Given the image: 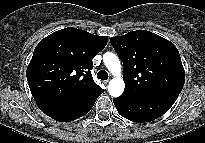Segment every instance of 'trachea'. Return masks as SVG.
<instances>
[{
	"label": "trachea",
	"mask_w": 205,
	"mask_h": 143,
	"mask_svg": "<svg viewBox=\"0 0 205 143\" xmlns=\"http://www.w3.org/2000/svg\"><path fill=\"white\" fill-rule=\"evenodd\" d=\"M98 79L101 80H107L108 79V73L105 70H101L97 74Z\"/></svg>",
	"instance_id": "obj_1"
}]
</instances>
